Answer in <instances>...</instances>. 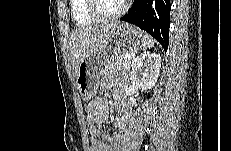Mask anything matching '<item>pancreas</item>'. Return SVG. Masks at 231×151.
<instances>
[{"mask_svg":"<svg viewBox=\"0 0 231 151\" xmlns=\"http://www.w3.org/2000/svg\"><path fill=\"white\" fill-rule=\"evenodd\" d=\"M131 61L125 58V54H120L115 57L106 67L104 74L109 75L120 71L128 72Z\"/></svg>","mask_w":231,"mask_h":151,"instance_id":"obj_1","label":"pancreas"}]
</instances>
